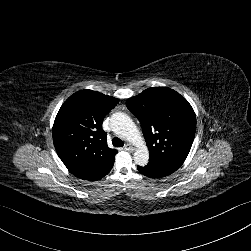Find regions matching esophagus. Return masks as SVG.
Wrapping results in <instances>:
<instances>
[{
    "label": "esophagus",
    "instance_id": "esophagus-1",
    "mask_svg": "<svg viewBox=\"0 0 251 251\" xmlns=\"http://www.w3.org/2000/svg\"><path fill=\"white\" fill-rule=\"evenodd\" d=\"M124 148H125L126 150H129V151L135 150V147H134L133 144H131V143H126L125 146H124Z\"/></svg>",
    "mask_w": 251,
    "mask_h": 251
}]
</instances>
